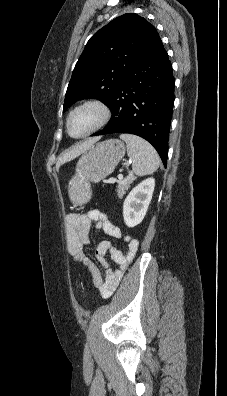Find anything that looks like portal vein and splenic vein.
Masks as SVG:
<instances>
[{"label":"portal vein and splenic vein","mask_w":227,"mask_h":396,"mask_svg":"<svg viewBox=\"0 0 227 396\" xmlns=\"http://www.w3.org/2000/svg\"><path fill=\"white\" fill-rule=\"evenodd\" d=\"M123 178V175L120 173V174H118V179H122Z\"/></svg>","instance_id":"portal-vein-and-splenic-vein-1"}]
</instances>
